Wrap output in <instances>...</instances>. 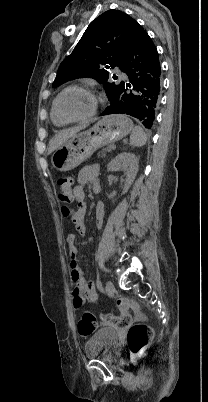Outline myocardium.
<instances>
[{
    "label": "myocardium",
    "instance_id": "myocardium-1",
    "mask_svg": "<svg viewBox=\"0 0 208 402\" xmlns=\"http://www.w3.org/2000/svg\"><path fill=\"white\" fill-rule=\"evenodd\" d=\"M72 89H79V90H82V91H85V92H90V93L95 95L96 101L94 103V106H93L92 110L89 113H87L86 115L76 117V118H71V117L66 116L60 110V108H59V100H60L61 96L64 93H66L67 91L72 90ZM103 101L104 100H103L102 95L97 90H95L93 88H90V87H87V86H82V85H70V86H67L66 88H64L56 96V98L54 100V107H55V110H56L57 114L60 116V118L63 121H66L68 123H73V122L86 121V120L90 119L91 117H93L96 114V112L98 111V109H99L100 105L103 103Z\"/></svg>",
    "mask_w": 208,
    "mask_h": 402
}]
</instances>
